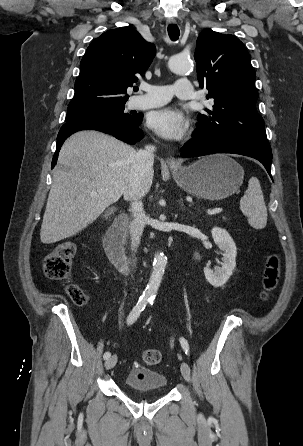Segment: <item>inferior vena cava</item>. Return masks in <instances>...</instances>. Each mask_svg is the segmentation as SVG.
<instances>
[{
	"instance_id": "1",
	"label": "inferior vena cava",
	"mask_w": 303,
	"mask_h": 446,
	"mask_svg": "<svg viewBox=\"0 0 303 446\" xmlns=\"http://www.w3.org/2000/svg\"><path fill=\"white\" fill-rule=\"evenodd\" d=\"M155 147L147 146L135 153L129 182V195L133 220L129 224L131 250L136 252L145 227V212L141 197L144 195V183L152 170ZM136 259L133 260L135 265Z\"/></svg>"
}]
</instances>
